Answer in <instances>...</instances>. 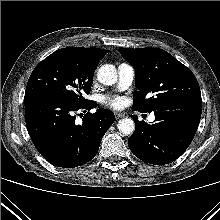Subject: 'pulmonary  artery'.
Listing matches in <instances>:
<instances>
[{
  "label": "pulmonary artery",
  "mask_w": 220,
  "mask_h": 220,
  "mask_svg": "<svg viewBox=\"0 0 220 220\" xmlns=\"http://www.w3.org/2000/svg\"><path fill=\"white\" fill-rule=\"evenodd\" d=\"M135 71L133 66L128 63H121L118 66V88L120 90L127 89L133 82ZM149 122L155 120V116L152 114L148 117Z\"/></svg>",
  "instance_id": "pulmonary-artery-1"
}]
</instances>
